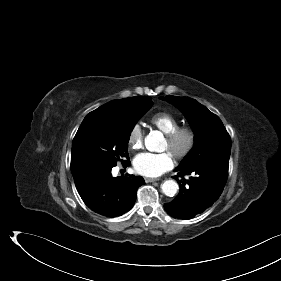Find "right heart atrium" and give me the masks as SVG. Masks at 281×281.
Masks as SVG:
<instances>
[{"label":"right heart atrium","instance_id":"1","mask_svg":"<svg viewBox=\"0 0 281 281\" xmlns=\"http://www.w3.org/2000/svg\"><path fill=\"white\" fill-rule=\"evenodd\" d=\"M128 145L132 149H138L143 142V130L140 124H134L130 129L127 139Z\"/></svg>","mask_w":281,"mask_h":281}]
</instances>
